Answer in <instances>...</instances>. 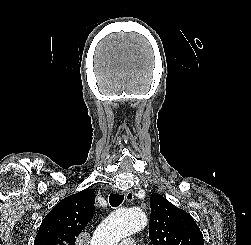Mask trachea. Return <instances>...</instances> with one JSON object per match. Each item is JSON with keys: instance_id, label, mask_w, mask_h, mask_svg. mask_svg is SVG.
<instances>
[{"instance_id": "trachea-1", "label": "trachea", "mask_w": 251, "mask_h": 245, "mask_svg": "<svg viewBox=\"0 0 251 245\" xmlns=\"http://www.w3.org/2000/svg\"><path fill=\"white\" fill-rule=\"evenodd\" d=\"M123 199H124L123 195L111 193L109 197V202L111 206L117 207L122 203Z\"/></svg>"}]
</instances>
